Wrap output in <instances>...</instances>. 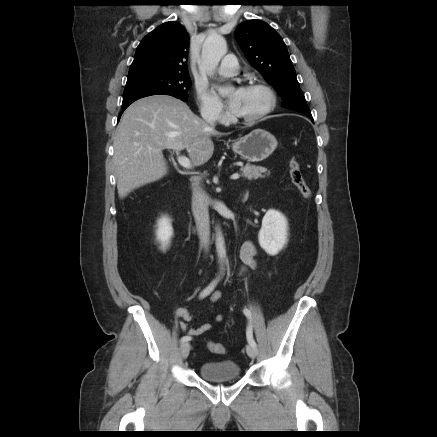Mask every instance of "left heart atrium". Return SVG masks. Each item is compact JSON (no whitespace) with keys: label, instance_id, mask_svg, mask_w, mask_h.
Instances as JSON below:
<instances>
[{"label":"left heart atrium","instance_id":"39dd6f15","mask_svg":"<svg viewBox=\"0 0 437 437\" xmlns=\"http://www.w3.org/2000/svg\"><path fill=\"white\" fill-rule=\"evenodd\" d=\"M242 92H243V88H237L231 95L228 101V105L232 112H235L237 110Z\"/></svg>","mask_w":437,"mask_h":437}]
</instances>
